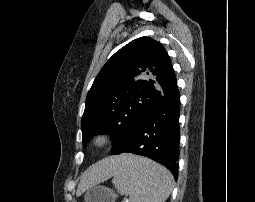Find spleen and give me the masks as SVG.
I'll use <instances>...</instances> for the list:
<instances>
[{
    "label": "spleen",
    "mask_w": 255,
    "mask_h": 202,
    "mask_svg": "<svg viewBox=\"0 0 255 202\" xmlns=\"http://www.w3.org/2000/svg\"><path fill=\"white\" fill-rule=\"evenodd\" d=\"M115 188L130 202H165L173 190L172 174L150 159L129 156L112 175Z\"/></svg>",
    "instance_id": "1"
}]
</instances>
